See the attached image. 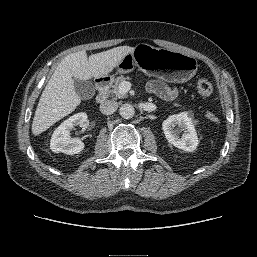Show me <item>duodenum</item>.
<instances>
[{
  "label": "duodenum",
  "mask_w": 257,
  "mask_h": 257,
  "mask_svg": "<svg viewBox=\"0 0 257 257\" xmlns=\"http://www.w3.org/2000/svg\"><path fill=\"white\" fill-rule=\"evenodd\" d=\"M111 80L108 78H101L96 81V87L98 90L97 102L103 103L108 97V91Z\"/></svg>",
  "instance_id": "1"
}]
</instances>
